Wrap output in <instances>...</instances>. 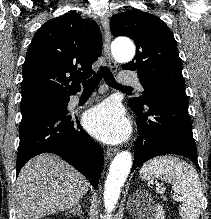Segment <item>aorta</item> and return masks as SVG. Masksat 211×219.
<instances>
[{
  "label": "aorta",
  "instance_id": "1",
  "mask_svg": "<svg viewBox=\"0 0 211 219\" xmlns=\"http://www.w3.org/2000/svg\"><path fill=\"white\" fill-rule=\"evenodd\" d=\"M114 58L119 62H129L135 55V46L130 40L116 42L113 48ZM132 166V156L128 151H122L113 159L104 188V203L108 212H112L120 196L123 186Z\"/></svg>",
  "mask_w": 211,
  "mask_h": 219
}]
</instances>
